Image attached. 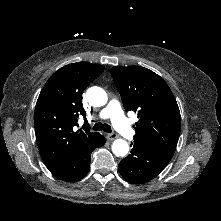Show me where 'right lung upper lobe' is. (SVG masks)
<instances>
[{"label": "right lung upper lobe", "mask_w": 221, "mask_h": 221, "mask_svg": "<svg viewBox=\"0 0 221 221\" xmlns=\"http://www.w3.org/2000/svg\"><path fill=\"white\" fill-rule=\"evenodd\" d=\"M104 70L99 64L77 62L56 71L36 103L34 126L38 147L47 168L53 169L88 148L99 133L90 132L82 106V93ZM85 125L79 130L78 117Z\"/></svg>", "instance_id": "right-lung-upper-lobe-1"}]
</instances>
